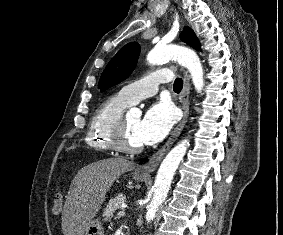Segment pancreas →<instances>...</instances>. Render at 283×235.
I'll use <instances>...</instances> for the list:
<instances>
[{
  "label": "pancreas",
  "mask_w": 283,
  "mask_h": 235,
  "mask_svg": "<svg viewBox=\"0 0 283 235\" xmlns=\"http://www.w3.org/2000/svg\"><path fill=\"white\" fill-rule=\"evenodd\" d=\"M126 201V196L123 194H118L114 198L110 199L106 208L102 214L105 221H110L113 214L117 209L121 208V204Z\"/></svg>",
  "instance_id": "cf45deb5"
}]
</instances>
